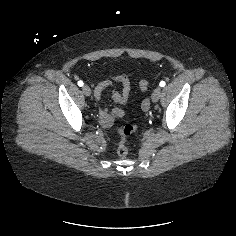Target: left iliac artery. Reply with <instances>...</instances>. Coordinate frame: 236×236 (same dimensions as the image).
<instances>
[{"label": "left iliac artery", "mask_w": 236, "mask_h": 236, "mask_svg": "<svg viewBox=\"0 0 236 236\" xmlns=\"http://www.w3.org/2000/svg\"><path fill=\"white\" fill-rule=\"evenodd\" d=\"M159 85H160V87H164V86L166 85V83H165V81H161V82L159 83Z\"/></svg>", "instance_id": "44dca946"}]
</instances>
